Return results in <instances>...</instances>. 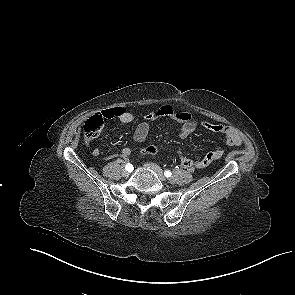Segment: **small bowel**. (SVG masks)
<instances>
[{"mask_svg":"<svg viewBox=\"0 0 295 295\" xmlns=\"http://www.w3.org/2000/svg\"><path fill=\"white\" fill-rule=\"evenodd\" d=\"M99 116L103 120H112L116 119L121 123L128 124L134 121L135 116L133 113L127 111L123 107H114L101 111ZM161 117H169L172 120L181 124L179 130V137L181 139H186L192 135L198 124L203 126L205 129L221 134L225 137L226 142L230 146H240L241 137L238 133L230 126L212 123L209 121H198L194 115L188 111H182L174 108L171 105H164L158 109L150 110L144 115V121L139 123L133 133V139L136 142H143L146 140L151 124ZM131 151L129 147H125L122 150L121 156L123 159H127ZM94 156L100 155L99 149H94ZM223 155L222 150H214L207 153L203 158L199 160H192L187 157H184L180 154V165L182 168L193 171L195 169H203L209 166L213 161L221 158Z\"/></svg>","mask_w":295,"mask_h":295,"instance_id":"small-bowel-1","label":"small bowel"}]
</instances>
